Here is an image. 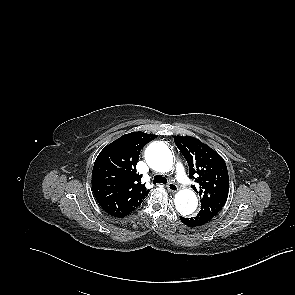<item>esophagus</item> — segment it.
<instances>
[{"mask_svg":"<svg viewBox=\"0 0 295 295\" xmlns=\"http://www.w3.org/2000/svg\"><path fill=\"white\" fill-rule=\"evenodd\" d=\"M167 189L170 191V192H176L178 191V186L173 183V182H169L167 185H166Z\"/></svg>","mask_w":295,"mask_h":295,"instance_id":"obj_1","label":"esophagus"}]
</instances>
